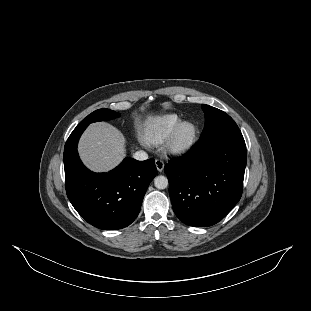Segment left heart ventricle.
<instances>
[{
  "label": "left heart ventricle",
  "instance_id": "obj_1",
  "mask_svg": "<svg viewBox=\"0 0 311 311\" xmlns=\"http://www.w3.org/2000/svg\"><path fill=\"white\" fill-rule=\"evenodd\" d=\"M188 133H189V130L187 129L184 131L183 136L186 137L188 135Z\"/></svg>",
  "mask_w": 311,
  "mask_h": 311
}]
</instances>
